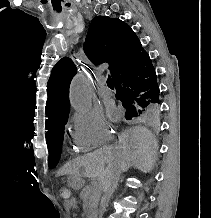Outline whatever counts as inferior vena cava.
<instances>
[{
	"mask_svg": "<svg viewBox=\"0 0 211 218\" xmlns=\"http://www.w3.org/2000/svg\"><path fill=\"white\" fill-rule=\"evenodd\" d=\"M121 174V170H113L109 176H107L105 182H101L102 190L104 192L102 196V206H107V202H109L113 192H115L118 186L119 176Z\"/></svg>",
	"mask_w": 211,
	"mask_h": 218,
	"instance_id": "1",
	"label": "inferior vena cava"
}]
</instances>
